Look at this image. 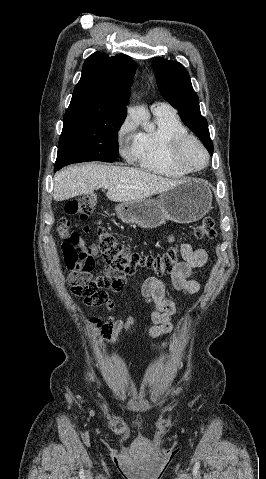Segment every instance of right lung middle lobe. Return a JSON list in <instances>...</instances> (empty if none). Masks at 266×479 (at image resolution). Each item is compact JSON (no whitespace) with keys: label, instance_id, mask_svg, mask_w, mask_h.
Instances as JSON below:
<instances>
[{"label":"right lung middle lobe","instance_id":"obj_1","mask_svg":"<svg viewBox=\"0 0 266 479\" xmlns=\"http://www.w3.org/2000/svg\"><path fill=\"white\" fill-rule=\"evenodd\" d=\"M124 120L119 116H64L55 165L114 162L118 157L117 134Z\"/></svg>","mask_w":266,"mask_h":479}]
</instances>
